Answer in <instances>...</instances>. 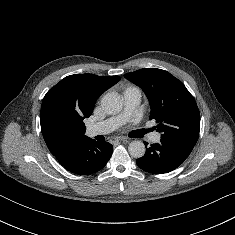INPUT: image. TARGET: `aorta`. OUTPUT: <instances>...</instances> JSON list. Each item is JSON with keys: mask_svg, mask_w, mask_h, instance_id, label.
I'll list each match as a JSON object with an SVG mask.
<instances>
[{"mask_svg": "<svg viewBox=\"0 0 235 235\" xmlns=\"http://www.w3.org/2000/svg\"><path fill=\"white\" fill-rule=\"evenodd\" d=\"M101 108L105 113L115 115L122 110L123 101L117 93H107L101 99ZM128 151L133 158H141L144 156L146 148L142 141L135 140L129 144Z\"/></svg>", "mask_w": 235, "mask_h": 235, "instance_id": "1", "label": "aorta"}]
</instances>
